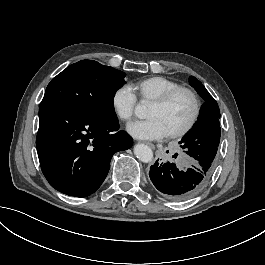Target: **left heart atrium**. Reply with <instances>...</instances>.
<instances>
[{"instance_id": "39dd6f15", "label": "left heart atrium", "mask_w": 265, "mask_h": 265, "mask_svg": "<svg viewBox=\"0 0 265 265\" xmlns=\"http://www.w3.org/2000/svg\"><path fill=\"white\" fill-rule=\"evenodd\" d=\"M127 131L134 138L141 140H153L166 135L165 129L155 118L132 121L127 126Z\"/></svg>"}]
</instances>
